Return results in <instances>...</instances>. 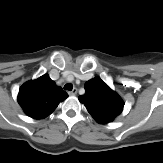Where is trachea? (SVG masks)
<instances>
[{
    "label": "trachea",
    "mask_w": 163,
    "mask_h": 163,
    "mask_svg": "<svg viewBox=\"0 0 163 163\" xmlns=\"http://www.w3.org/2000/svg\"><path fill=\"white\" fill-rule=\"evenodd\" d=\"M73 89V85L71 83H67L64 85V90L71 91Z\"/></svg>",
    "instance_id": "obj_1"
}]
</instances>
